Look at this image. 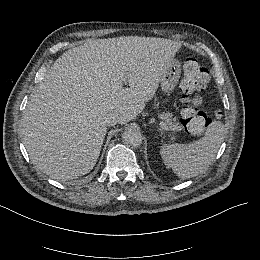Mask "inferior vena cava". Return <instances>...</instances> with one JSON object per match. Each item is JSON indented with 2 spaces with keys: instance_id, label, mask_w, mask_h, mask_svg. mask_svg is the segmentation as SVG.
Returning a JSON list of instances; mask_svg holds the SVG:
<instances>
[{
  "instance_id": "602c4592",
  "label": "inferior vena cava",
  "mask_w": 260,
  "mask_h": 260,
  "mask_svg": "<svg viewBox=\"0 0 260 260\" xmlns=\"http://www.w3.org/2000/svg\"><path fill=\"white\" fill-rule=\"evenodd\" d=\"M117 121H118V118H117L116 114H109L106 117L107 126H113L117 123Z\"/></svg>"
}]
</instances>
